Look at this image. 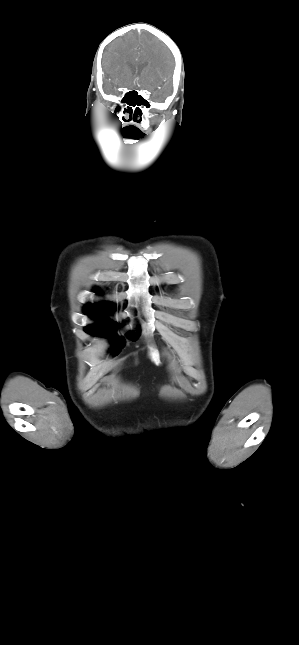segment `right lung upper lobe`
<instances>
[{
    "instance_id": "1",
    "label": "right lung upper lobe",
    "mask_w": 299,
    "mask_h": 645,
    "mask_svg": "<svg viewBox=\"0 0 299 645\" xmlns=\"http://www.w3.org/2000/svg\"><path fill=\"white\" fill-rule=\"evenodd\" d=\"M98 292H100L97 289ZM113 308L111 303H101L98 305L87 304L85 305V312L88 314H104Z\"/></svg>"
}]
</instances>
